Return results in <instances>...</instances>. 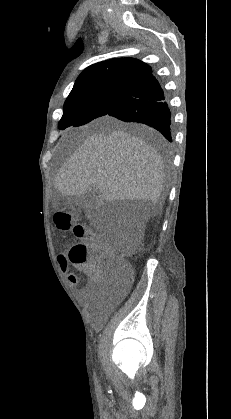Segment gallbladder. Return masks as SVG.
Returning a JSON list of instances; mask_svg holds the SVG:
<instances>
[{
    "label": "gallbladder",
    "instance_id": "obj_1",
    "mask_svg": "<svg viewBox=\"0 0 231 419\" xmlns=\"http://www.w3.org/2000/svg\"><path fill=\"white\" fill-rule=\"evenodd\" d=\"M63 199L67 201L69 197L63 196ZM99 202H100L99 193L95 188L92 187L84 195L75 198V200L73 201V204L86 207L87 210L90 212V210H95V208L99 205Z\"/></svg>",
    "mask_w": 231,
    "mask_h": 419
}]
</instances>
